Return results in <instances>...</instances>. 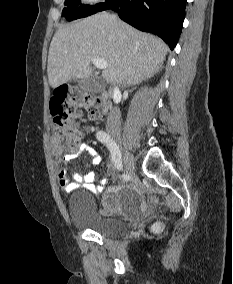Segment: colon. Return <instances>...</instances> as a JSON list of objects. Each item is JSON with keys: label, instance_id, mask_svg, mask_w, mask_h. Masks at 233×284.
Listing matches in <instances>:
<instances>
[{"label": "colon", "instance_id": "colon-1", "mask_svg": "<svg viewBox=\"0 0 233 284\" xmlns=\"http://www.w3.org/2000/svg\"><path fill=\"white\" fill-rule=\"evenodd\" d=\"M103 106V102L93 96H77L67 100L64 96L58 95L51 99L52 121L61 130L64 144L69 151H75L82 138L81 130L73 118L75 110L84 109L92 118H96Z\"/></svg>", "mask_w": 233, "mask_h": 284}]
</instances>
